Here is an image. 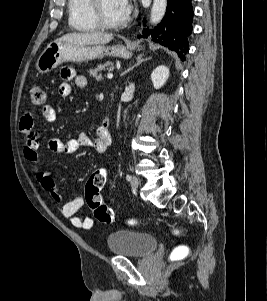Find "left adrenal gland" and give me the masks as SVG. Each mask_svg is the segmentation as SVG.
<instances>
[{
	"instance_id": "obj_1",
	"label": "left adrenal gland",
	"mask_w": 267,
	"mask_h": 301,
	"mask_svg": "<svg viewBox=\"0 0 267 301\" xmlns=\"http://www.w3.org/2000/svg\"><path fill=\"white\" fill-rule=\"evenodd\" d=\"M151 58H143V55H139L136 60L137 63L131 67H129L127 70H125L123 73H121V76L125 75L126 73H128L129 71H131L132 69H134V67H137L138 65H140L141 63L150 60Z\"/></svg>"
}]
</instances>
